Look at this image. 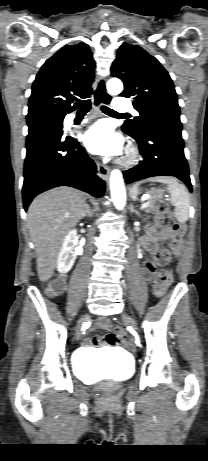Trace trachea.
Instances as JSON below:
<instances>
[{
	"mask_svg": "<svg viewBox=\"0 0 208 461\" xmlns=\"http://www.w3.org/2000/svg\"><path fill=\"white\" fill-rule=\"evenodd\" d=\"M95 98L97 102H103L108 104L110 101V96L106 93L104 83L101 81L99 83L98 89L95 91ZM79 106V112H88L91 108V101L90 100H78L77 101ZM102 111L109 115H116V116H129L127 113H117L116 111L110 109L107 106L101 107Z\"/></svg>",
	"mask_w": 208,
	"mask_h": 461,
	"instance_id": "1",
	"label": "trachea"
}]
</instances>
